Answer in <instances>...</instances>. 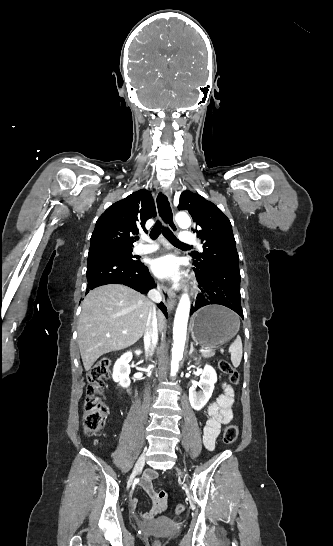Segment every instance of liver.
<instances>
[{"label":"liver","mask_w":333,"mask_h":546,"mask_svg":"<svg viewBox=\"0 0 333 546\" xmlns=\"http://www.w3.org/2000/svg\"><path fill=\"white\" fill-rule=\"evenodd\" d=\"M153 305L137 291L120 284L98 287L82 302L78 345L89 371L102 355L127 348L145 334ZM159 326L164 316L157 312ZM126 332V333H123Z\"/></svg>","instance_id":"obj_1"}]
</instances>
